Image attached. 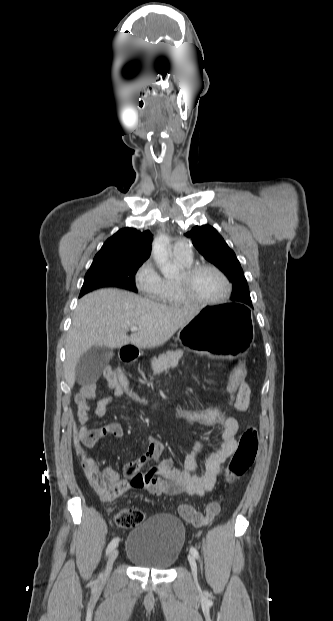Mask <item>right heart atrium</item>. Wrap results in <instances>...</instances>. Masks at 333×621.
<instances>
[{"instance_id":"right-heart-atrium-1","label":"right heart atrium","mask_w":333,"mask_h":621,"mask_svg":"<svg viewBox=\"0 0 333 621\" xmlns=\"http://www.w3.org/2000/svg\"><path fill=\"white\" fill-rule=\"evenodd\" d=\"M138 290L148 297L155 298L162 286V278L151 261L144 262L135 275Z\"/></svg>"}]
</instances>
